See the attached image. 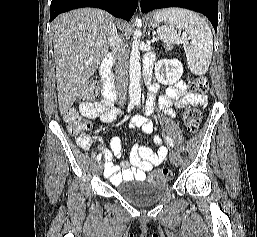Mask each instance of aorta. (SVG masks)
<instances>
[{
	"mask_svg": "<svg viewBox=\"0 0 257 237\" xmlns=\"http://www.w3.org/2000/svg\"><path fill=\"white\" fill-rule=\"evenodd\" d=\"M135 24H141V19L136 18ZM140 37L141 31L139 29H135L133 33V43L132 49L130 53V61H129V96L131 100H139L141 97V87H140V79H141V65H140Z\"/></svg>",
	"mask_w": 257,
	"mask_h": 237,
	"instance_id": "aorta-1",
	"label": "aorta"
}]
</instances>
